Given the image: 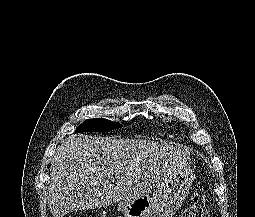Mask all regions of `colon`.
Masks as SVG:
<instances>
[{"instance_id":"obj_1","label":"colon","mask_w":255,"mask_h":217,"mask_svg":"<svg viewBox=\"0 0 255 217\" xmlns=\"http://www.w3.org/2000/svg\"><path fill=\"white\" fill-rule=\"evenodd\" d=\"M182 217H204V209L199 203L197 194L191 196V201L183 212Z\"/></svg>"}]
</instances>
